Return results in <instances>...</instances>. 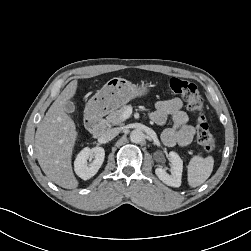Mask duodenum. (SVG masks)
I'll return each mask as SVG.
<instances>
[{
  "instance_id": "duodenum-1",
  "label": "duodenum",
  "mask_w": 251,
  "mask_h": 251,
  "mask_svg": "<svg viewBox=\"0 0 251 251\" xmlns=\"http://www.w3.org/2000/svg\"><path fill=\"white\" fill-rule=\"evenodd\" d=\"M86 126L94 138H99L105 131L103 116L96 110H90L86 117Z\"/></svg>"
}]
</instances>
